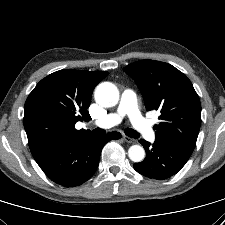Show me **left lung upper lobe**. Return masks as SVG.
Segmentation results:
<instances>
[{"mask_svg":"<svg viewBox=\"0 0 225 225\" xmlns=\"http://www.w3.org/2000/svg\"><path fill=\"white\" fill-rule=\"evenodd\" d=\"M139 87L147 111L160 113L155 140L192 154L201 124V104L190 80L174 66L141 60L125 68Z\"/></svg>","mask_w":225,"mask_h":225,"instance_id":"5c2ea615","label":"left lung upper lobe"}]
</instances>
